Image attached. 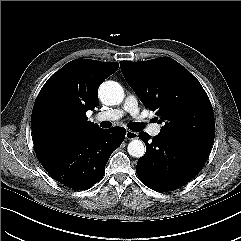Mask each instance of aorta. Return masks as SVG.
<instances>
[{
    "label": "aorta",
    "instance_id": "1",
    "mask_svg": "<svg viewBox=\"0 0 241 241\" xmlns=\"http://www.w3.org/2000/svg\"><path fill=\"white\" fill-rule=\"evenodd\" d=\"M99 97L106 105H118L123 101L124 90L115 81H105L99 87ZM127 151L131 156L140 158L144 156L146 148L143 141L134 139L128 144Z\"/></svg>",
    "mask_w": 241,
    "mask_h": 241
}]
</instances>
